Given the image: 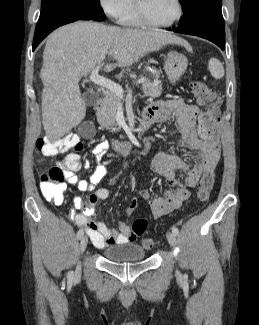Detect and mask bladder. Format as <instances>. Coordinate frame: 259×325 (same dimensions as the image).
Returning <instances> with one entry per match:
<instances>
[{
	"instance_id": "31cf9c89",
	"label": "bladder",
	"mask_w": 259,
	"mask_h": 325,
	"mask_svg": "<svg viewBox=\"0 0 259 325\" xmlns=\"http://www.w3.org/2000/svg\"><path fill=\"white\" fill-rule=\"evenodd\" d=\"M103 253L107 260L115 263L137 262L145 258L144 249L135 243L111 245Z\"/></svg>"
}]
</instances>
